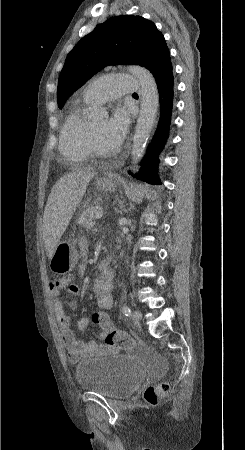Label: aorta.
Returning <instances> with one entry per match:
<instances>
[{
  "instance_id": "762f6f07",
  "label": "aorta",
  "mask_w": 245,
  "mask_h": 450,
  "mask_svg": "<svg viewBox=\"0 0 245 450\" xmlns=\"http://www.w3.org/2000/svg\"><path fill=\"white\" fill-rule=\"evenodd\" d=\"M129 69L138 79L141 86V107L133 136L131 152L132 164L135 167L143 157L145 145L156 120L159 94L155 79L147 69L138 65H131ZM95 114L103 117L107 112L104 109H98Z\"/></svg>"
}]
</instances>
